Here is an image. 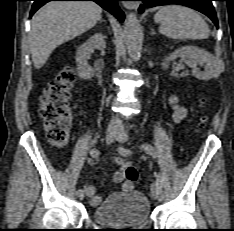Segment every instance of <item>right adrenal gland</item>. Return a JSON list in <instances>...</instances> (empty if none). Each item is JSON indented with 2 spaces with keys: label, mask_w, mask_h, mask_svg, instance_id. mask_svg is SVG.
<instances>
[{
  "label": "right adrenal gland",
  "mask_w": 234,
  "mask_h": 231,
  "mask_svg": "<svg viewBox=\"0 0 234 231\" xmlns=\"http://www.w3.org/2000/svg\"><path fill=\"white\" fill-rule=\"evenodd\" d=\"M103 21H105V20H102V19H101V20H100V23H102Z\"/></svg>",
  "instance_id": "obj_1"
}]
</instances>
